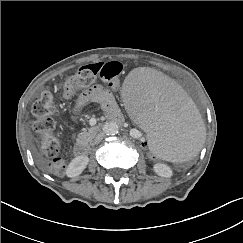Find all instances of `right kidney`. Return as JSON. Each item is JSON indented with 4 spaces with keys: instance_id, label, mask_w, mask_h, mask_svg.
<instances>
[{
    "instance_id": "ca27d5eb",
    "label": "right kidney",
    "mask_w": 243,
    "mask_h": 243,
    "mask_svg": "<svg viewBox=\"0 0 243 243\" xmlns=\"http://www.w3.org/2000/svg\"><path fill=\"white\" fill-rule=\"evenodd\" d=\"M88 162H89L88 156L81 155L75 157L68 165V168L66 170L67 176L76 177L80 175L88 165Z\"/></svg>"
}]
</instances>
